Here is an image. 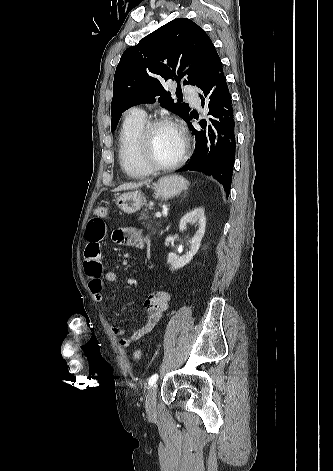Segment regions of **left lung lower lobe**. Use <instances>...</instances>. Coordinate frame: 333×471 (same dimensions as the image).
I'll return each mask as SVG.
<instances>
[{"label": "left lung lower lobe", "mask_w": 333, "mask_h": 471, "mask_svg": "<svg viewBox=\"0 0 333 471\" xmlns=\"http://www.w3.org/2000/svg\"><path fill=\"white\" fill-rule=\"evenodd\" d=\"M197 87L202 90V106L209 108L212 126L208 127L207 132L197 130L190 122L194 118L192 113L185 119L195 136L196 147L188 164L177 171H199L213 176L224 186L228 197L235 161L236 131L232 99L217 52Z\"/></svg>", "instance_id": "obj_1"}]
</instances>
